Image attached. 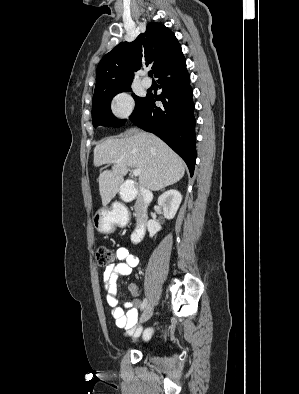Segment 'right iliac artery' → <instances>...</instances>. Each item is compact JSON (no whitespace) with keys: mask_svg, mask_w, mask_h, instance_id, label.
Listing matches in <instances>:
<instances>
[{"mask_svg":"<svg viewBox=\"0 0 299 394\" xmlns=\"http://www.w3.org/2000/svg\"><path fill=\"white\" fill-rule=\"evenodd\" d=\"M147 306V299L145 298L141 304V310H143Z\"/></svg>","mask_w":299,"mask_h":394,"instance_id":"1","label":"right iliac artery"}]
</instances>
